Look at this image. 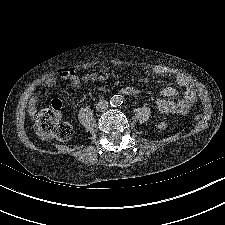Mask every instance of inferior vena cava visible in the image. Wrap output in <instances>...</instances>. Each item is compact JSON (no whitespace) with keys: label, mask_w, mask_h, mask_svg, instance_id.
Segmentation results:
<instances>
[{"label":"inferior vena cava","mask_w":225,"mask_h":225,"mask_svg":"<svg viewBox=\"0 0 225 225\" xmlns=\"http://www.w3.org/2000/svg\"><path fill=\"white\" fill-rule=\"evenodd\" d=\"M108 102L107 101H100L99 103L96 104V110L98 112H104L105 110L108 109Z\"/></svg>","instance_id":"1"}]
</instances>
